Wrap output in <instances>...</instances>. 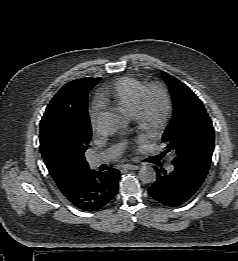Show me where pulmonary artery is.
Instances as JSON below:
<instances>
[{
  "mask_svg": "<svg viewBox=\"0 0 238 261\" xmlns=\"http://www.w3.org/2000/svg\"><path fill=\"white\" fill-rule=\"evenodd\" d=\"M121 152H122V147L119 145L108 148L107 150L102 151V152L96 154L95 156H93L90 160L91 165L95 167L101 163L109 162V161L117 158L118 156H120ZM168 170L172 171L173 166L169 165Z\"/></svg>",
  "mask_w": 238,
  "mask_h": 261,
  "instance_id": "e3ab8cb5",
  "label": "pulmonary artery"
}]
</instances>
